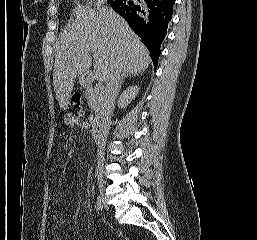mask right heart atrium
Masks as SVG:
<instances>
[{
  "instance_id": "obj_1",
  "label": "right heart atrium",
  "mask_w": 257,
  "mask_h": 240,
  "mask_svg": "<svg viewBox=\"0 0 257 240\" xmlns=\"http://www.w3.org/2000/svg\"><path fill=\"white\" fill-rule=\"evenodd\" d=\"M98 2H103L104 0H97Z\"/></svg>"
}]
</instances>
